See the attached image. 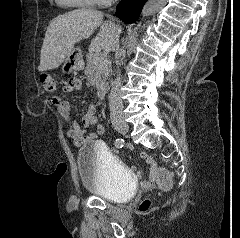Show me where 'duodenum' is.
<instances>
[{
    "instance_id": "1",
    "label": "duodenum",
    "mask_w": 240,
    "mask_h": 238,
    "mask_svg": "<svg viewBox=\"0 0 240 238\" xmlns=\"http://www.w3.org/2000/svg\"><path fill=\"white\" fill-rule=\"evenodd\" d=\"M107 93V84L103 83L98 87L97 96L98 98H103Z\"/></svg>"
}]
</instances>
